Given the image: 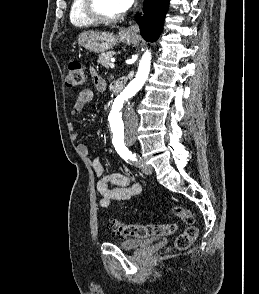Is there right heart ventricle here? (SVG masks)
<instances>
[{"instance_id": "e07e8e85", "label": "right heart ventricle", "mask_w": 259, "mask_h": 294, "mask_svg": "<svg viewBox=\"0 0 259 294\" xmlns=\"http://www.w3.org/2000/svg\"><path fill=\"white\" fill-rule=\"evenodd\" d=\"M69 18L75 27H87L93 24L83 13V0H72Z\"/></svg>"}]
</instances>
